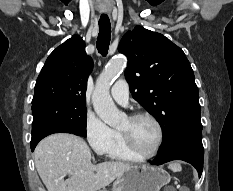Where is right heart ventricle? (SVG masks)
<instances>
[{
    "instance_id": "1",
    "label": "right heart ventricle",
    "mask_w": 233,
    "mask_h": 191,
    "mask_svg": "<svg viewBox=\"0 0 233 191\" xmlns=\"http://www.w3.org/2000/svg\"><path fill=\"white\" fill-rule=\"evenodd\" d=\"M108 156L110 159L117 161L139 162L142 160V158L129 150L120 132H116V141Z\"/></svg>"
}]
</instances>
